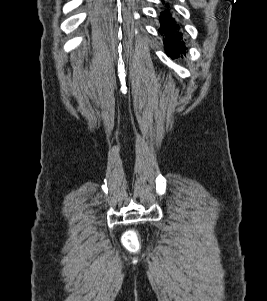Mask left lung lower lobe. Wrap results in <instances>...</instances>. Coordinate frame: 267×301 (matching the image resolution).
I'll list each match as a JSON object with an SVG mask.
<instances>
[{
  "instance_id": "left-lung-lower-lobe-1",
  "label": "left lung lower lobe",
  "mask_w": 267,
  "mask_h": 301,
  "mask_svg": "<svg viewBox=\"0 0 267 301\" xmlns=\"http://www.w3.org/2000/svg\"><path fill=\"white\" fill-rule=\"evenodd\" d=\"M163 3H165L163 1ZM166 7H169L166 4ZM161 27L159 32L164 36V43L166 45L165 49L168 52V56L171 58H176L180 54L186 51V46L182 33L179 31L180 27L176 24L174 18H172L171 13L167 10L161 12L160 14Z\"/></svg>"
}]
</instances>
